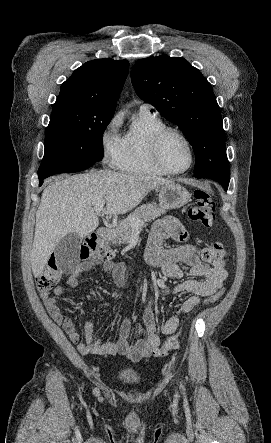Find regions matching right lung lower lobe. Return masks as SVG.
I'll return each mask as SVG.
<instances>
[{"label": "right lung lower lobe", "mask_w": 271, "mask_h": 443, "mask_svg": "<svg viewBox=\"0 0 271 443\" xmlns=\"http://www.w3.org/2000/svg\"><path fill=\"white\" fill-rule=\"evenodd\" d=\"M91 166L88 165H80V166H65V167H58L52 170H48L45 172H38V177H39V186H41L43 184V180L49 176H52L54 174H59V173H73V172H79L82 170H85L87 168H89Z\"/></svg>", "instance_id": "98d812e1"}]
</instances>
